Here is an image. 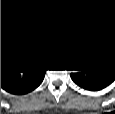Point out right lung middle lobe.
Returning a JSON list of instances; mask_svg holds the SVG:
<instances>
[{
    "label": "right lung middle lobe",
    "mask_w": 115,
    "mask_h": 114,
    "mask_svg": "<svg viewBox=\"0 0 115 114\" xmlns=\"http://www.w3.org/2000/svg\"><path fill=\"white\" fill-rule=\"evenodd\" d=\"M1 57L8 58L13 57V50L12 47L8 44L1 45Z\"/></svg>",
    "instance_id": "1"
}]
</instances>
